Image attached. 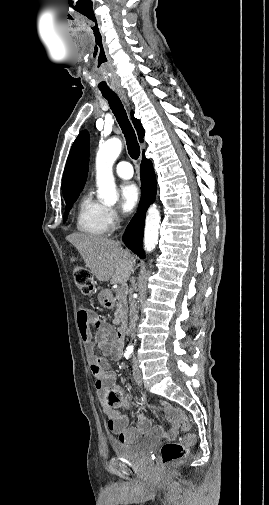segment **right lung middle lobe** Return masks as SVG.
Returning <instances> with one entry per match:
<instances>
[{
  "mask_svg": "<svg viewBox=\"0 0 269 505\" xmlns=\"http://www.w3.org/2000/svg\"><path fill=\"white\" fill-rule=\"evenodd\" d=\"M79 193H77V194L73 195L72 197H70L69 199L65 200V202H66V211L64 213V222L67 220L69 210L72 207L73 203L77 200V198L79 196Z\"/></svg>",
  "mask_w": 269,
  "mask_h": 505,
  "instance_id": "1",
  "label": "right lung middle lobe"
}]
</instances>
